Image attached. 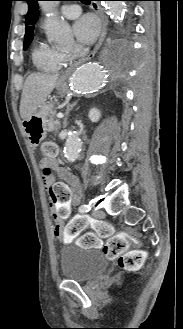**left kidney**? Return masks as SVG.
<instances>
[{"mask_svg":"<svg viewBox=\"0 0 183 329\" xmlns=\"http://www.w3.org/2000/svg\"><path fill=\"white\" fill-rule=\"evenodd\" d=\"M88 116L92 122H98L101 118V112L96 108H92L90 109Z\"/></svg>","mask_w":183,"mask_h":329,"instance_id":"5707ae66","label":"left kidney"}]
</instances>
